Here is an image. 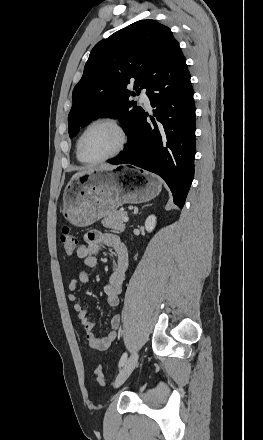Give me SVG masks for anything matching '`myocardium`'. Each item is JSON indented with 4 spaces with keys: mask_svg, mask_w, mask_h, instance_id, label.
I'll list each match as a JSON object with an SVG mask.
<instances>
[{
    "mask_svg": "<svg viewBox=\"0 0 263 440\" xmlns=\"http://www.w3.org/2000/svg\"><path fill=\"white\" fill-rule=\"evenodd\" d=\"M98 124L112 125L118 131V133L120 135V142H119L118 147L111 154H109L103 158L97 159V160H87L82 156V151H81L82 141H83V138L85 137V135L87 134V132L92 127H94L95 125H98ZM128 141H129V135H128L127 129L125 128V126L123 125V123L120 120H118L117 118H114V117H100V118L93 120L91 123H89L85 127L83 132L80 134V136L77 140V144H76L77 158L79 159V161H81L84 164H89V165L100 164V163L106 162V161L111 160V159L117 157L118 155H120L124 151V149L126 148Z\"/></svg>",
    "mask_w": 263,
    "mask_h": 440,
    "instance_id": "myocardium-1",
    "label": "myocardium"
}]
</instances>
